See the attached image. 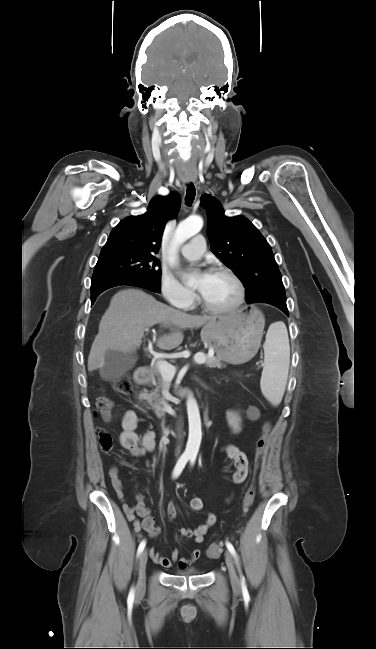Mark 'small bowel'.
Instances as JSON below:
<instances>
[{"label": "small bowel", "instance_id": "small-bowel-1", "mask_svg": "<svg viewBox=\"0 0 376 649\" xmlns=\"http://www.w3.org/2000/svg\"><path fill=\"white\" fill-rule=\"evenodd\" d=\"M121 427L122 431L119 436L120 444L130 453L131 456L140 457L155 450L156 444L154 432L147 431L143 435L138 433L139 417L134 410H128L124 413ZM226 452L228 456L234 460L235 471L232 476L234 483H243L248 474V459L246 455L234 446L226 447ZM108 474L113 491L121 502V508L127 520L133 523L134 531L139 533L141 529H143L151 537L158 536L160 534V528L155 525L150 510L144 503V495L138 493L135 496V505L131 506L127 504L125 502L124 485L119 478L118 468L115 466L111 467ZM190 508L193 511H200L203 508V503L198 498L192 499L190 501ZM166 514L170 520L176 518L177 511L173 502L168 503ZM138 517H141V521ZM216 521V514L209 513L202 524L193 529L182 527L179 529V532L181 536L192 538L197 545H200L204 541L205 534L216 523ZM149 556L154 563L165 568H171L177 565L180 569H186L200 558L201 550L195 548L185 557H180L178 551H174L170 557H163L155 548H152L149 551Z\"/></svg>", "mask_w": 376, "mask_h": 649}]
</instances>
